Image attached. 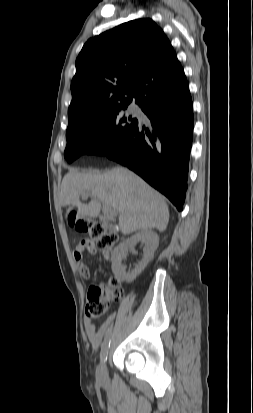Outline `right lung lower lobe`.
Wrapping results in <instances>:
<instances>
[{
	"label": "right lung lower lobe",
	"mask_w": 253,
	"mask_h": 413,
	"mask_svg": "<svg viewBox=\"0 0 253 413\" xmlns=\"http://www.w3.org/2000/svg\"><path fill=\"white\" fill-rule=\"evenodd\" d=\"M141 109L152 129L138 124L104 156L133 170L181 211L194 122L189 88L178 96L151 100Z\"/></svg>",
	"instance_id": "98d812e1"
}]
</instances>
